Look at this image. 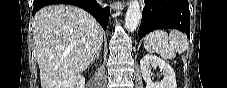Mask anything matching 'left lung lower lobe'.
<instances>
[{
	"mask_svg": "<svg viewBox=\"0 0 227 88\" xmlns=\"http://www.w3.org/2000/svg\"><path fill=\"white\" fill-rule=\"evenodd\" d=\"M178 29L190 37L188 0H146L139 27V40L156 29Z\"/></svg>",
	"mask_w": 227,
	"mask_h": 88,
	"instance_id": "0a47b994",
	"label": "left lung lower lobe"
}]
</instances>
